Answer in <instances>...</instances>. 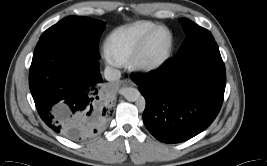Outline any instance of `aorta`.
Instances as JSON below:
<instances>
[{
	"label": "aorta",
	"mask_w": 267,
	"mask_h": 166,
	"mask_svg": "<svg viewBox=\"0 0 267 166\" xmlns=\"http://www.w3.org/2000/svg\"><path fill=\"white\" fill-rule=\"evenodd\" d=\"M124 96L126 100L130 102L138 101L141 97V94L137 88L134 87H128L124 91Z\"/></svg>",
	"instance_id": "aorta-1"
}]
</instances>
